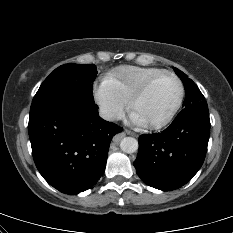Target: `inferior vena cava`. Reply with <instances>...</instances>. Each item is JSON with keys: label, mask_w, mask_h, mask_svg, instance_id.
Masks as SVG:
<instances>
[{"label": "inferior vena cava", "mask_w": 233, "mask_h": 233, "mask_svg": "<svg viewBox=\"0 0 233 233\" xmlns=\"http://www.w3.org/2000/svg\"><path fill=\"white\" fill-rule=\"evenodd\" d=\"M99 115L105 120H115L117 118V113L108 107H101L99 109Z\"/></svg>", "instance_id": "1"}]
</instances>
